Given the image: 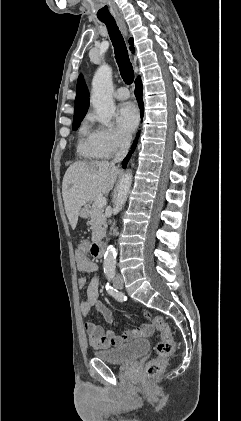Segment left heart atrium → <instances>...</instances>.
Instances as JSON below:
<instances>
[{"instance_id":"39dd6f15","label":"left heart atrium","mask_w":241,"mask_h":421,"mask_svg":"<svg viewBox=\"0 0 241 421\" xmlns=\"http://www.w3.org/2000/svg\"><path fill=\"white\" fill-rule=\"evenodd\" d=\"M138 120L139 113L134 104L127 102L120 105L116 114V121L124 133L131 134L136 128Z\"/></svg>"}]
</instances>
